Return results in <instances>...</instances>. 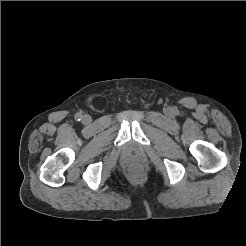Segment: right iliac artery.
<instances>
[{
    "label": "right iliac artery",
    "mask_w": 246,
    "mask_h": 246,
    "mask_svg": "<svg viewBox=\"0 0 246 246\" xmlns=\"http://www.w3.org/2000/svg\"><path fill=\"white\" fill-rule=\"evenodd\" d=\"M81 119H82V114L77 113V114L75 115V120L80 121Z\"/></svg>",
    "instance_id": "1"
}]
</instances>
